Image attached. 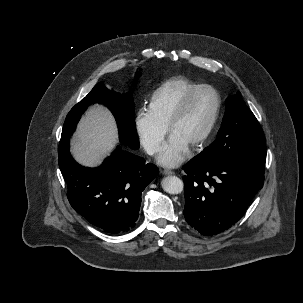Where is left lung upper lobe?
Listing matches in <instances>:
<instances>
[{
  "instance_id": "obj_1",
  "label": "left lung upper lobe",
  "mask_w": 303,
  "mask_h": 303,
  "mask_svg": "<svg viewBox=\"0 0 303 303\" xmlns=\"http://www.w3.org/2000/svg\"><path fill=\"white\" fill-rule=\"evenodd\" d=\"M199 156L213 161L227 160L264 174V133L240 93L227 98L226 113L216 140Z\"/></svg>"
}]
</instances>
